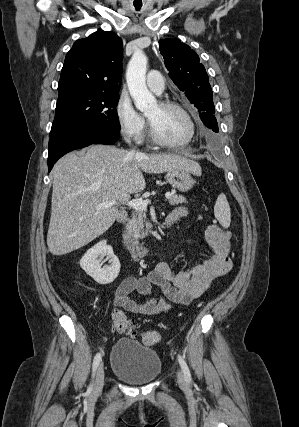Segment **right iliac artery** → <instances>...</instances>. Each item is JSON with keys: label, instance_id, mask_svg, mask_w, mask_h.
I'll use <instances>...</instances> for the list:
<instances>
[{"label": "right iliac artery", "instance_id": "82829eb1", "mask_svg": "<svg viewBox=\"0 0 299 427\" xmlns=\"http://www.w3.org/2000/svg\"><path fill=\"white\" fill-rule=\"evenodd\" d=\"M100 361H101V354L97 353L96 356L94 357V360H93V366H92V371H93L92 376L93 377H94L95 372L99 366ZM90 388H92V386H90Z\"/></svg>", "mask_w": 299, "mask_h": 427}]
</instances>
